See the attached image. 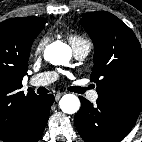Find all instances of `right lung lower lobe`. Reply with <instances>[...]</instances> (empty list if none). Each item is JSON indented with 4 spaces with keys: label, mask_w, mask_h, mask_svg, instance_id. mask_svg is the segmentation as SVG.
Instances as JSON below:
<instances>
[{
    "label": "right lung lower lobe",
    "mask_w": 142,
    "mask_h": 142,
    "mask_svg": "<svg viewBox=\"0 0 142 142\" xmlns=\"http://www.w3.org/2000/svg\"><path fill=\"white\" fill-rule=\"evenodd\" d=\"M53 95L39 96L17 133L5 142H37L49 118Z\"/></svg>",
    "instance_id": "obj_1"
}]
</instances>
